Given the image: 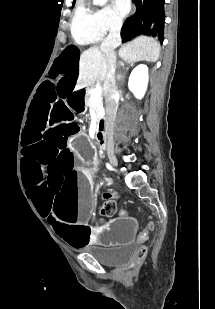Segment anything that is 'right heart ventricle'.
I'll use <instances>...</instances> for the list:
<instances>
[{"mask_svg":"<svg viewBox=\"0 0 215 309\" xmlns=\"http://www.w3.org/2000/svg\"><path fill=\"white\" fill-rule=\"evenodd\" d=\"M98 21L93 14H76L72 19V40L75 44L83 45L87 42H98L103 27H97ZM116 44V43H109Z\"/></svg>","mask_w":215,"mask_h":309,"instance_id":"1","label":"right heart ventricle"}]
</instances>
